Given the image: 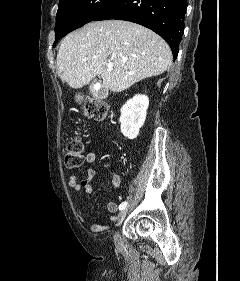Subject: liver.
Wrapping results in <instances>:
<instances>
[{
	"instance_id": "liver-1",
	"label": "liver",
	"mask_w": 240,
	"mask_h": 281,
	"mask_svg": "<svg viewBox=\"0 0 240 281\" xmlns=\"http://www.w3.org/2000/svg\"><path fill=\"white\" fill-rule=\"evenodd\" d=\"M110 62L111 71L107 69ZM56 64L61 81L73 89L100 75L106 89L122 92L164 73L172 64V53L164 39L150 29L129 21L107 20L69 33L60 45Z\"/></svg>"
}]
</instances>
